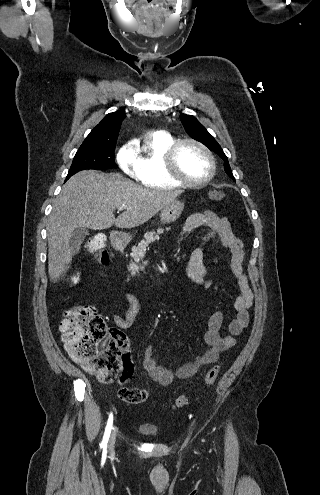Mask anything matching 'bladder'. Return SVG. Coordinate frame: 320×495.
<instances>
[{
	"label": "bladder",
	"instance_id": "31cf9c89",
	"mask_svg": "<svg viewBox=\"0 0 320 495\" xmlns=\"http://www.w3.org/2000/svg\"><path fill=\"white\" fill-rule=\"evenodd\" d=\"M139 431L147 436L156 435L158 432V428L152 424H142L139 426Z\"/></svg>",
	"mask_w": 320,
	"mask_h": 495
}]
</instances>
